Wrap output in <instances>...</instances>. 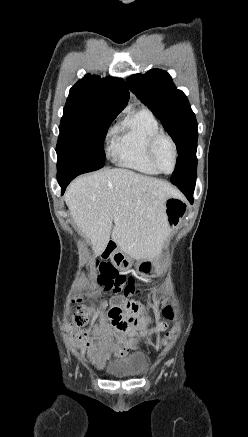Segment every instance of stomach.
Here are the masks:
<instances>
[{"mask_svg": "<svg viewBox=\"0 0 248 437\" xmlns=\"http://www.w3.org/2000/svg\"><path fill=\"white\" fill-rule=\"evenodd\" d=\"M165 206L168 229L169 231H173L180 225L185 217L187 204L182 198L170 197L166 200ZM155 260L156 258H151L141 261L140 264L135 266V271L137 273H142L144 271L143 276H145L147 279H153L155 277V273H158L159 271V266L158 264L146 263L154 262ZM113 261L117 265L119 272H128L133 265L132 258L122 251L116 253Z\"/></svg>", "mask_w": 248, "mask_h": 437, "instance_id": "1", "label": "stomach"}]
</instances>
